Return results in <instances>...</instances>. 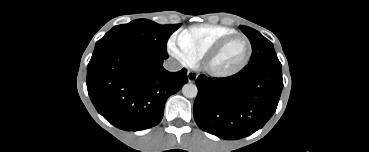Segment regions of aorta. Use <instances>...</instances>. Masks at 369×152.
Here are the masks:
<instances>
[{
	"mask_svg": "<svg viewBox=\"0 0 369 152\" xmlns=\"http://www.w3.org/2000/svg\"><path fill=\"white\" fill-rule=\"evenodd\" d=\"M182 93L187 98H195L198 93L197 86L192 83L184 84L182 87Z\"/></svg>",
	"mask_w": 369,
	"mask_h": 152,
	"instance_id": "762f6f07",
	"label": "aorta"
}]
</instances>
